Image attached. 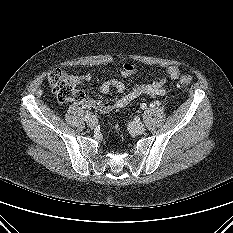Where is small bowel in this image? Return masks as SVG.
Segmentation results:
<instances>
[{"instance_id":"obj_1","label":"small bowel","mask_w":233,"mask_h":233,"mask_svg":"<svg viewBox=\"0 0 233 233\" xmlns=\"http://www.w3.org/2000/svg\"><path fill=\"white\" fill-rule=\"evenodd\" d=\"M137 72V68L134 64L126 62L123 65L121 76L122 78H128ZM180 76V69L177 66H169L166 69V76L161 77L149 83H144L133 87L131 90L127 91L125 84L119 79H111L104 82L100 87V92L102 94H108L112 89L120 95L119 98L114 103L103 102L95 98H86L82 100L84 107L89 109H94L102 113H109L114 108H123L127 106L133 100L141 97L148 96L150 98H157L163 96L166 93L165 84L167 82V77L176 80ZM92 79L91 73H85L75 77L77 83H82L84 81H90Z\"/></svg>"}]
</instances>
